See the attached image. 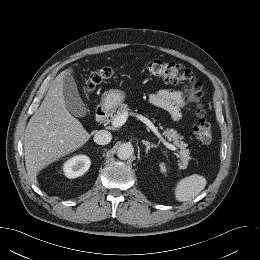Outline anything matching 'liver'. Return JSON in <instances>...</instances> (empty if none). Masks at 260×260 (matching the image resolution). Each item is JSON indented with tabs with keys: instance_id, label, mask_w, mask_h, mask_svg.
I'll list each match as a JSON object with an SVG mask.
<instances>
[{
	"instance_id": "6515ba94",
	"label": "liver",
	"mask_w": 260,
	"mask_h": 260,
	"mask_svg": "<svg viewBox=\"0 0 260 260\" xmlns=\"http://www.w3.org/2000/svg\"><path fill=\"white\" fill-rule=\"evenodd\" d=\"M72 68L62 71L52 82L43 102L29 120L24 136L25 165L32 183L48 164L83 146L91 137L65 104L63 81Z\"/></svg>"
}]
</instances>
